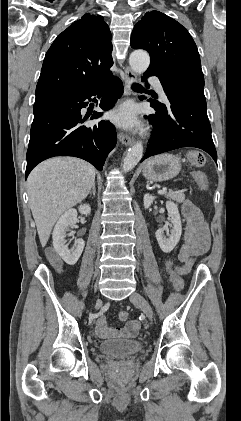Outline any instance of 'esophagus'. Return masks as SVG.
I'll return each instance as SVG.
<instances>
[{
    "mask_svg": "<svg viewBox=\"0 0 241 421\" xmlns=\"http://www.w3.org/2000/svg\"><path fill=\"white\" fill-rule=\"evenodd\" d=\"M135 81H136V74L129 67H126L125 69V94L127 96L131 95L132 93L131 86ZM118 139L125 146L131 145L134 141L133 137L125 134L124 132H120L118 134Z\"/></svg>",
    "mask_w": 241,
    "mask_h": 421,
    "instance_id": "1",
    "label": "esophagus"
}]
</instances>
